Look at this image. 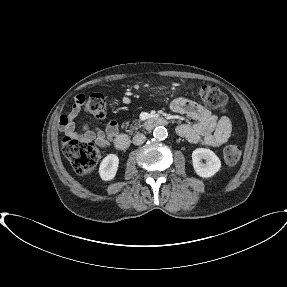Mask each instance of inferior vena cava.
I'll use <instances>...</instances> for the list:
<instances>
[{"mask_svg":"<svg viewBox=\"0 0 287 287\" xmlns=\"http://www.w3.org/2000/svg\"><path fill=\"white\" fill-rule=\"evenodd\" d=\"M146 140V136L142 133H137L136 135H134L133 137V144L134 145H141L145 142Z\"/></svg>","mask_w":287,"mask_h":287,"instance_id":"inferior-vena-cava-1","label":"inferior vena cava"}]
</instances>
